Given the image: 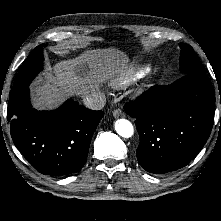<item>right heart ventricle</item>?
Here are the masks:
<instances>
[{
  "label": "right heart ventricle",
  "instance_id": "e07e8e85",
  "mask_svg": "<svg viewBox=\"0 0 221 221\" xmlns=\"http://www.w3.org/2000/svg\"><path fill=\"white\" fill-rule=\"evenodd\" d=\"M139 74H140V71H135L132 73L124 74L114 82V85H116V86L125 85L128 82H130L135 76H137Z\"/></svg>",
  "mask_w": 221,
  "mask_h": 221
}]
</instances>
